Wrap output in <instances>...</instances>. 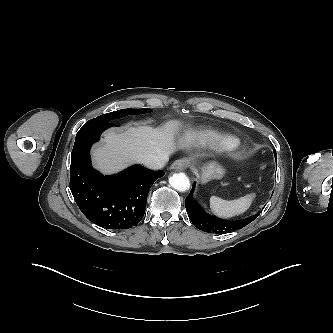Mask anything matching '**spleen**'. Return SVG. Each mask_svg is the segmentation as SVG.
Masks as SVG:
<instances>
[{
	"instance_id": "obj_1",
	"label": "spleen",
	"mask_w": 333,
	"mask_h": 333,
	"mask_svg": "<svg viewBox=\"0 0 333 333\" xmlns=\"http://www.w3.org/2000/svg\"><path fill=\"white\" fill-rule=\"evenodd\" d=\"M255 194H248L239 199L226 201L219 197L210 198V208L219 217L229 218L244 213L250 207Z\"/></svg>"
}]
</instances>
